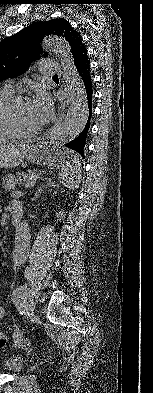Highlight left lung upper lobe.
<instances>
[{
	"instance_id": "5c2ea615",
	"label": "left lung upper lobe",
	"mask_w": 153,
	"mask_h": 393,
	"mask_svg": "<svg viewBox=\"0 0 153 393\" xmlns=\"http://www.w3.org/2000/svg\"><path fill=\"white\" fill-rule=\"evenodd\" d=\"M49 34L61 35L69 42L74 62L86 51L80 34L65 19L32 23L0 42V81L21 75L32 61L39 59L40 41Z\"/></svg>"
}]
</instances>
